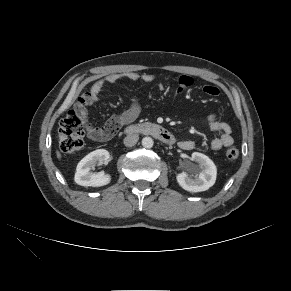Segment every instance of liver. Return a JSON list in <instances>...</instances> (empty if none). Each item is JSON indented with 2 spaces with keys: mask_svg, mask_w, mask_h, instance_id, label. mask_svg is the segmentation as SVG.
<instances>
[{
  "mask_svg": "<svg viewBox=\"0 0 291 291\" xmlns=\"http://www.w3.org/2000/svg\"><path fill=\"white\" fill-rule=\"evenodd\" d=\"M56 155H57V158H58V159H61V154H60L59 151H56Z\"/></svg>",
  "mask_w": 291,
  "mask_h": 291,
  "instance_id": "liver-1",
  "label": "liver"
}]
</instances>
